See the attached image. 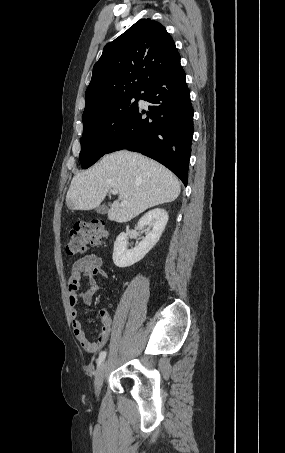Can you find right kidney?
<instances>
[{"instance_id":"right-kidney-1","label":"right kidney","mask_w":285,"mask_h":453,"mask_svg":"<svg viewBox=\"0 0 285 453\" xmlns=\"http://www.w3.org/2000/svg\"><path fill=\"white\" fill-rule=\"evenodd\" d=\"M168 213L162 208L148 211L139 220V229L148 227L146 236L132 249H127L128 235L120 233L116 238L113 250V262L119 268L132 266L139 262L159 241L168 222Z\"/></svg>"}]
</instances>
